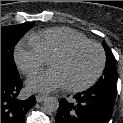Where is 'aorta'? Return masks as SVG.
<instances>
[{
    "label": "aorta",
    "instance_id": "762f6f07",
    "mask_svg": "<svg viewBox=\"0 0 123 123\" xmlns=\"http://www.w3.org/2000/svg\"><path fill=\"white\" fill-rule=\"evenodd\" d=\"M44 110L47 113H54L58 110L59 108V101L57 98L49 96L44 99Z\"/></svg>",
    "mask_w": 123,
    "mask_h": 123
}]
</instances>
